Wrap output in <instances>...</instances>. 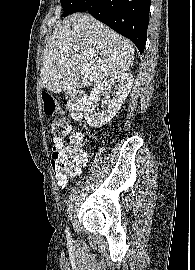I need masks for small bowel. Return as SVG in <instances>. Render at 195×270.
<instances>
[{
  "mask_svg": "<svg viewBox=\"0 0 195 270\" xmlns=\"http://www.w3.org/2000/svg\"><path fill=\"white\" fill-rule=\"evenodd\" d=\"M73 129V127L71 125L68 126V129H67V133L71 132ZM76 134H78L81 138H82V134L81 132H77ZM62 144V138H55L54 139V147H58ZM53 147V148H54Z\"/></svg>",
  "mask_w": 195,
  "mask_h": 270,
  "instance_id": "obj_1",
  "label": "small bowel"
}]
</instances>
